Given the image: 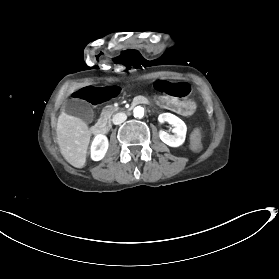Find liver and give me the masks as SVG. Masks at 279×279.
Masks as SVG:
<instances>
[{"mask_svg": "<svg viewBox=\"0 0 279 279\" xmlns=\"http://www.w3.org/2000/svg\"><path fill=\"white\" fill-rule=\"evenodd\" d=\"M57 143L65 160L76 168L86 162L91 133L80 118L68 115L63 109L57 121Z\"/></svg>", "mask_w": 279, "mask_h": 279, "instance_id": "obj_1", "label": "liver"}]
</instances>
